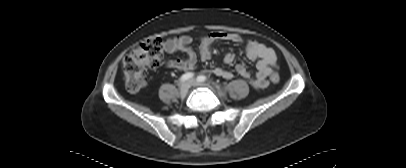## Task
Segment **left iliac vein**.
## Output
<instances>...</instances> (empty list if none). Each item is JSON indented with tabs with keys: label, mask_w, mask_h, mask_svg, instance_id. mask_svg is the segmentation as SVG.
I'll list each match as a JSON object with an SVG mask.
<instances>
[{
	"label": "left iliac vein",
	"mask_w": 406,
	"mask_h": 168,
	"mask_svg": "<svg viewBox=\"0 0 406 168\" xmlns=\"http://www.w3.org/2000/svg\"><path fill=\"white\" fill-rule=\"evenodd\" d=\"M190 82L193 86H204L205 85L204 83H200L194 79L190 80Z\"/></svg>",
	"instance_id": "left-iliac-vein-1"
}]
</instances>
